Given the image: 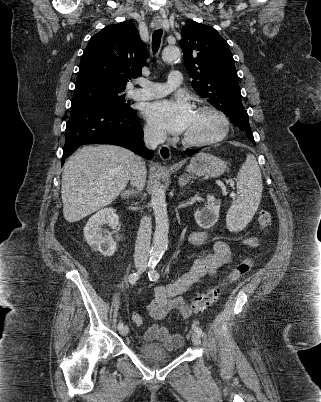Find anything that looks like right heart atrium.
Here are the masks:
<instances>
[{
	"label": "right heart atrium",
	"instance_id": "1",
	"mask_svg": "<svg viewBox=\"0 0 321 402\" xmlns=\"http://www.w3.org/2000/svg\"><path fill=\"white\" fill-rule=\"evenodd\" d=\"M145 133L148 139H150L151 141H156L162 138V135L159 132L155 131L150 127H147L145 129Z\"/></svg>",
	"mask_w": 321,
	"mask_h": 402
}]
</instances>
